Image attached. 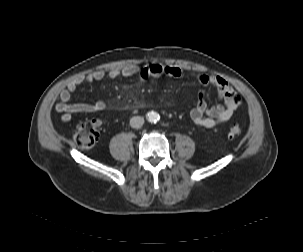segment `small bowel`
<instances>
[{
  "label": "small bowel",
  "mask_w": 303,
  "mask_h": 252,
  "mask_svg": "<svg viewBox=\"0 0 303 252\" xmlns=\"http://www.w3.org/2000/svg\"><path fill=\"white\" fill-rule=\"evenodd\" d=\"M138 76L145 80L150 77H186V73L178 66L150 64L148 66L139 67L129 65L122 69L113 70H96L86 75H81L71 81L60 92L55 103L56 112L61 114L62 122L72 120L74 113H89L103 111L107 108V104L103 100L94 103H71V96L85 82L92 83L101 81L105 78L116 79L118 77L129 78ZM195 79L203 85V89L199 92L197 103L189 113L190 120L199 126L213 128L219 124L227 122L239 108L242 98L234 90L229 83L217 75L195 74ZM207 88H214L221 97L222 102L212 107L207 106ZM99 125H104V120H97Z\"/></svg>",
  "instance_id": "obj_1"
}]
</instances>
